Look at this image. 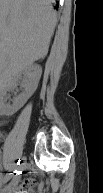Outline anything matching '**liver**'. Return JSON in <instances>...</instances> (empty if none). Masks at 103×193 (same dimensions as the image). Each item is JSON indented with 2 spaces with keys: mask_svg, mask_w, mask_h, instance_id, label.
<instances>
[{
  "mask_svg": "<svg viewBox=\"0 0 103 193\" xmlns=\"http://www.w3.org/2000/svg\"><path fill=\"white\" fill-rule=\"evenodd\" d=\"M54 0H0V79L46 57L54 33Z\"/></svg>",
  "mask_w": 103,
  "mask_h": 193,
  "instance_id": "liver-1",
  "label": "liver"
}]
</instances>
